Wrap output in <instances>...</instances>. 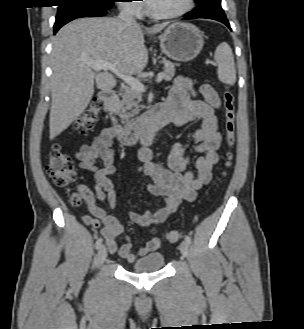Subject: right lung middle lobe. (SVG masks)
<instances>
[{
  "label": "right lung middle lobe",
  "mask_w": 304,
  "mask_h": 329,
  "mask_svg": "<svg viewBox=\"0 0 304 329\" xmlns=\"http://www.w3.org/2000/svg\"><path fill=\"white\" fill-rule=\"evenodd\" d=\"M57 16L66 12L82 9V8H96V9H109L113 6L114 0H58Z\"/></svg>",
  "instance_id": "dd1d6c3e"
}]
</instances>
